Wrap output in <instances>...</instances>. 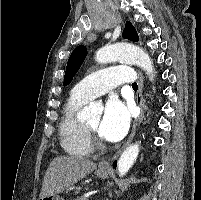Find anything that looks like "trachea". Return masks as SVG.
I'll list each match as a JSON object with an SVG mask.
<instances>
[{
	"label": "trachea",
	"mask_w": 201,
	"mask_h": 200,
	"mask_svg": "<svg viewBox=\"0 0 201 200\" xmlns=\"http://www.w3.org/2000/svg\"><path fill=\"white\" fill-rule=\"evenodd\" d=\"M132 88H133V89H138L137 83H133V84H132Z\"/></svg>",
	"instance_id": "1"
}]
</instances>
